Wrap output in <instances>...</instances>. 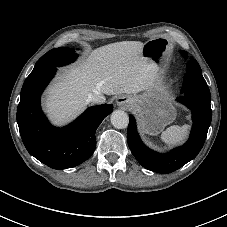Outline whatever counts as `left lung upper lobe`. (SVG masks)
Instances as JSON below:
<instances>
[{"mask_svg":"<svg viewBox=\"0 0 227 227\" xmlns=\"http://www.w3.org/2000/svg\"><path fill=\"white\" fill-rule=\"evenodd\" d=\"M184 58H187V52L181 51ZM184 96H193L211 100L209 88L202 76L201 68L195 59H191L187 64V71L184 76V83L181 89Z\"/></svg>","mask_w":227,"mask_h":227,"instance_id":"obj_1","label":"left lung upper lobe"}]
</instances>
